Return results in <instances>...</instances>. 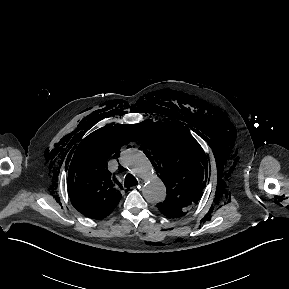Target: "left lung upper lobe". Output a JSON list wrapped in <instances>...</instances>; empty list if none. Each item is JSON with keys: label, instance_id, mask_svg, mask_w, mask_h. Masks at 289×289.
I'll list each match as a JSON object with an SVG mask.
<instances>
[{"label": "left lung upper lobe", "instance_id": "left-lung-upper-lobe-1", "mask_svg": "<svg viewBox=\"0 0 289 289\" xmlns=\"http://www.w3.org/2000/svg\"><path fill=\"white\" fill-rule=\"evenodd\" d=\"M142 143L167 188V198L158 203L160 209L186 214L202 196L208 166L198 142L182 126L169 122L139 124Z\"/></svg>", "mask_w": 289, "mask_h": 289}]
</instances>
